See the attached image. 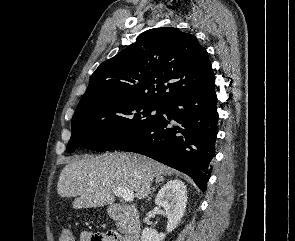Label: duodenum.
<instances>
[{
    "instance_id": "duodenum-1",
    "label": "duodenum",
    "mask_w": 295,
    "mask_h": 241,
    "mask_svg": "<svg viewBox=\"0 0 295 241\" xmlns=\"http://www.w3.org/2000/svg\"><path fill=\"white\" fill-rule=\"evenodd\" d=\"M108 212L111 218L124 221L123 241H139L141 222L135 206L111 204L108 206Z\"/></svg>"
}]
</instances>
